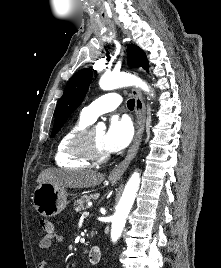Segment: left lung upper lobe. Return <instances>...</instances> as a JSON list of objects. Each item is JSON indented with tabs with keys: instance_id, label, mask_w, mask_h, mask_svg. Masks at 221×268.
<instances>
[{
	"instance_id": "obj_1",
	"label": "left lung upper lobe",
	"mask_w": 221,
	"mask_h": 268,
	"mask_svg": "<svg viewBox=\"0 0 221 268\" xmlns=\"http://www.w3.org/2000/svg\"><path fill=\"white\" fill-rule=\"evenodd\" d=\"M127 60L131 67H143L148 70V61L142 49L131 44L127 46ZM92 79L88 68L78 71L67 83L56 108V116L51 137L55 136L72 112L81 104Z\"/></svg>"
}]
</instances>
